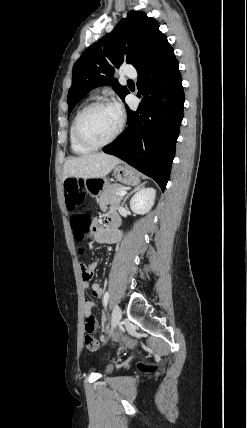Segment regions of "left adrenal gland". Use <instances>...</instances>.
<instances>
[{
    "label": "left adrenal gland",
    "instance_id": "a2214340",
    "mask_svg": "<svg viewBox=\"0 0 247 428\" xmlns=\"http://www.w3.org/2000/svg\"><path fill=\"white\" fill-rule=\"evenodd\" d=\"M147 182H143V183H140L139 185H137L136 187H134V189L133 190H131L126 196H125V198L123 199V202H122V204L124 205L125 204V202H126V200L128 199V197L133 193V192H135V191H137V190H139V189H141V188H143V186L146 184Z\"/></svg>",
    "mask_w": 247,
    "mask_h": 428
}]
</instances>
